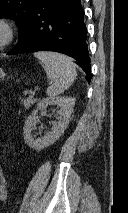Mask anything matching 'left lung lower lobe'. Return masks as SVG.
<instances>
[{
  "mask_svg": "<svg viewBox=\"0 0 128 213\" xmlns=\"http://www.w3.org/2000/svg\"><path fill=\"white\" fill-rule=\"evenodd\" d=\"M81 0H38L32 16L7 54L55 51L78 60L88 78L91 66Z\"/></svg>",
  "mask_w": 128,
  "mask_h": 213,
  "instance_id": "left-lung-lower-lobe-1",
  "label": "left lung lower lobe"
}]
</instances>
